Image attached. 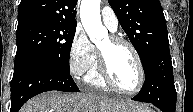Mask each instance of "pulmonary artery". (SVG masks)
Returning a JSON list of instances; mask_svg holds the SVG:
<instances>
[{
  "label": "pulmonary artery",
  "mask_w": 193,
  "mask_h": 112,
  "mask_svg": "<svg viewBox=\"0 0 193 112\" xmlns=\"http://www.w3.org/2000/svg\"><path fill=\"white\" fill-rule=\"evenodd\" d=\"M101 18L103 24L109 29L111 32H116L118 29V19L116 14L109 6L103 7L101 11Z\"/></svg>",
  "instance_id": "e3ab8cb5"
}]
</instances>
